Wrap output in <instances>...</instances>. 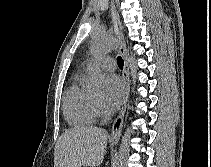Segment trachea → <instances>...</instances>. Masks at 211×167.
Instances as JSON below:
<instances>
[{"label": "trachea", "mask_w": 211, "mask_h": 167, "mask_svg": "<svg viewBox=\"0 0 211 167\" xmlns=\"http://www.w3.org/2000/svg\"><path fill=\"white\" fill-rule=\"evenodd\" d=\"M117 63H118L119 68L123 69L124 60L122 59L121 56L117 57Z\"/></svg>", "instance_id": "3493384b"}]
</instances>
